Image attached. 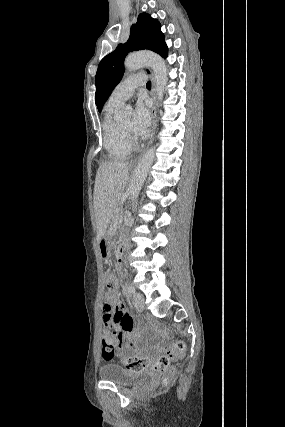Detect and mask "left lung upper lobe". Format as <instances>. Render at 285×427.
<instances>
[{
  "mask_svg": "<svg viewBox=\"0 0 285 427\" xmlns=\"http://www.w3.org/2000/svg\"><path fill=\"white\" fill-rule=\"evenodd\" d=\"M160 28L161 25L156 19L149 14L141 13L137 23L131 27L128 41L125 44H119L113 52L101 60L95 77V103L99 112L120 82L124 73V59L130 51L147 49L158 53L163 58L167 57L168 48Z\"/></svg>",
  "mask_w": 285,
  "mask_h": 427,
  "instance_id": "5c2ea615",
  "label": "left lung upper lobe"
}]
</instances>
